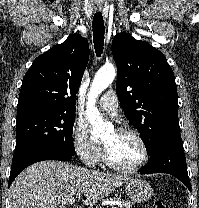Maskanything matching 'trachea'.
Returning <instances> with one entry per match:
<instances>
[{
  "label": "trachea",
  "instance_id": "obj_1",
  "mask_svg": "<svg viewBox=\"0 0 199 208\" xmlns=\"http://www.w3.org/2000/svg\"><path fill=\"white\" fill-rule=\"evenodd\" d=\"M93 42L96 55L101 56L104 48V21L100 12L94 14L93 22Z\"/></svg>",
  "mask_w": 199,
  "mask_h": 208
}]
</instances>
